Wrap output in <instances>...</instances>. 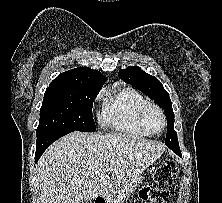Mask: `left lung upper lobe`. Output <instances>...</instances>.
<instances>
[{"label": "left lung upper lobe", "instance_id": "obj_1", "mask_svg": "<svg viewBox=\"0 0 222 203\" xmlns=\"http://www.w3.org/2000/svg\"><path fill=\"white\" fill-rule=\"evenodd\" d=\"M119 77L142 91L154 100L160 107L164 108L167 118V134L165 143L167 146L179 145L177 133L174 130V112L169 94L160 81L152 75L145 73L137 66H129L119 71Z\"/></svg>", "mask_w": 222, "mask_h": 203}]
</instances>
